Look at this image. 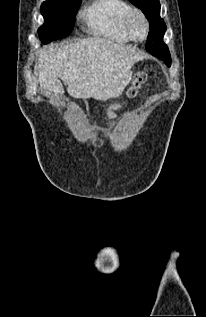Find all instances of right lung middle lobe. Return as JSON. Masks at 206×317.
<instances>
[{
    "label": "right lung middle lobe",
    "instance_id": "1",
    "mask_svg": "<svg viewBox=\"0 0 206 317\" xmlns=\"http://www.w3.org/2000/svg\"><path fill=\"white\" fill-rule=\"evenodd\" d=\"M81 0H47L41 5L44 24L38 29L42 43L68 36L73 30Z\"/></svg>",
    "mask_w": 206,
    "mask_h": 317
}]
</instances>
